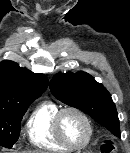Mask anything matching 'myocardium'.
Wrapping results in <instances>:
<instances>
[{"mask_svg":"<svg viewBox=\"0 0 130 153\" xmlns=\"http://www.w3.org/2000/svg\"><path fill=\"white\" fill-rule=\"evenodd\" d=\"M68 112H72V113L77 114L79 117H81L84 120V122L87 125V128H88L87 138L80 145H74V144L70 143L62 133L61 121H62L63 116ZM53 128H54V132H55L58 140L64 146L69 148L70 150H82V149H84L85 147L88 146V144L90 143V141L92 139V136H93V125H92L91 119L89 118V116L83 110H81L80 108L75 107V106H67V107L59 109V111L56 113V115L54 117Z\"/></svg>","mask_w":130,"mask_h":153,"instance_id":"obj_1","label":"myocardium"}]
</instances>
